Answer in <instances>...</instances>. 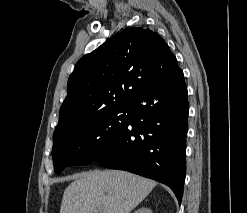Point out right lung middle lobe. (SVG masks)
Wrapping results in <instances>:
<instances>
[{
  "instance_id": "obj_1",
  "label": "right lung middle lobe",
  "mask_w": 247,
  "mask_h": 213,
  "mask_svg": "<svg viewBox=\"0 0 247 213\" xmlns=\"http://www.w3.org/2000/svg\"><path fill=\"white\" fill-rule=\"evenodd\" d=\"M130 115L131 106L124 103L54 137L52 157L55 172L60 173L69 165L97 161L111 148L118 131L127 124Z\"/></svg>"
}]
</instances>
